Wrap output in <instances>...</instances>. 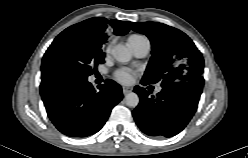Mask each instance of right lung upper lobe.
Returning a JSON list of instances; mask_svg holds the SVG:
<instances>
[{"label": "right lung upper lobe", "instance_id": "obj_1", "mask_svg": "<svg viewBox=\"0 0 248 158\" xmlns=\"http://www.w3.org/2000/svg\"><path fill=\"white\" fill-rule=\"evenodd\" d=\"M113 28L115 34L124 35L129 29L126 24L119 20H110L102 17H94L77 23L65 29L63 32H70L77 35L85 43L101 48L107 40V30ZM48 80L42 77L44 83Z\"/></svg>", "mask_w": 248, "mask_h": 158}]
</instances>
